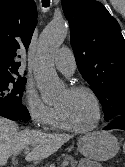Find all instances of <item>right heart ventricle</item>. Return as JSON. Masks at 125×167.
<instances>
[{
  "instance_id": "e07e8e85",
  "label": "right heart ventricle",
  "mask_w": 125,
  "mask_h": 167,
  "mask_svg": "<svg viewBox=\"0 0 125 167\" xmlns=\"http://www.w3.org/2000/svg\"><path fill=\"white\" fill-rule=\"evenodd\" d=\"M53 129H60L62 128L61 124H60V121H59V117H58V114L56 112V115L54 117V120L53 122L51 123L50 125Z\"/></svg>"
}]
</instances>
